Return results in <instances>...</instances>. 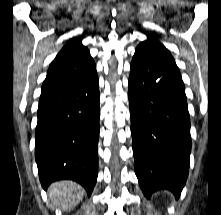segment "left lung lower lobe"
I'll list each match as a JSON object with an SVG mask.
<instances>
[{"mask_svg":"<svg viewBox=\"0 0 221 215\" xmlns=\"http://www.w3.org/2000/svg\"><path fill=\"white\" fill-rule=\"evenodd\" d=\"M129 103L135 173L144 195L168 189L179 198L189 172L190 117L184 83L168 50L136 49Z\"/></svg>","mask_w":221,"mask_h":215,"instance_id":"0a47b994","label":"left lung lower lobe"}]
</instances>
